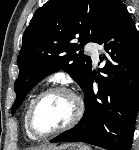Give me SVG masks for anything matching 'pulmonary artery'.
Instances as JSON below:
<instances>
[{"instance_id": "1", "label": "pulmonary artery", "mask_w": 139, "mask_h": 150, "mask_svg": "<svg viewBox=\"0 0 139 150\" xmlns=\"http://www.w3.org/2000/svg\"><path fill=\"white\" fill-rule=\"evenodd\" d=\"M86 50L90 53L93 61L95 63H97L98 59H99V47H98V45L96 43L89 42L86 45Z\"/></svg>"}]
</instances>
